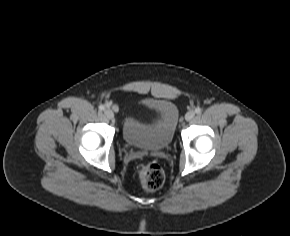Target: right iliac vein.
<instances>
[{"mask_svg": "<svg viewBox=\"0 0 290 236\" xmlns=\"http://www.w3.org/2000/svg\"><path fill=\"white\" fill-rule=\"evenodd\" d=\"M104 115L108 118V119H113L114 118V113L111 109H105L104 110Z\"/></svg>", "mask_w": 290, "mask_h": 236, "instance_id": "63e3f726", "label": "right iliac vein"}]
</instances>
